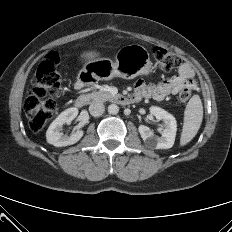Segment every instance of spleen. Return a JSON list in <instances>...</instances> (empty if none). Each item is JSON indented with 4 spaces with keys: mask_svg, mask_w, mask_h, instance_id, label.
Instances as JSON below:
<instances>
[{
    "mask_svg": "<svg viewBox=\"0 0 232 232\" xmlns=\"http://www.w3.org/2000/svg\"><path fill=\"white\" fill-rule=\"evenodd\" d=\"M203 119V106L199 95H194L187 103L184 111V123L180 137V145L188 144L197 134Z\"/></svg>",
    "mask_w": 232,
    "mask_h": 232,
    "instance_id": "3e777b00",
    "label": "spleen"
}]
</instances>
